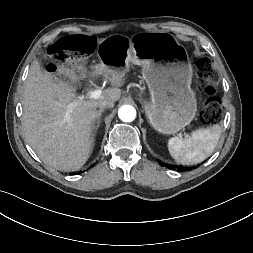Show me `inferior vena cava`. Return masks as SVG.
I'll return each instance as SVG.
<instances>
[{
    "instance_id": "1",
    "label": "inferior vena cava",
    "mask_w": 253,
    "mask_h": 253,
    "mask_svg": "<svg viewBox=\"0 0 253 253\" xmlns=\"http://www.w3.org/2000/svg\"><path fill=\"white\" fill-rule=\"evenodd\" d=\"M100 109H105V108H113L114 107V102L109 99L101 100L98 104Z\"/></svg>"
}]
</instances>
